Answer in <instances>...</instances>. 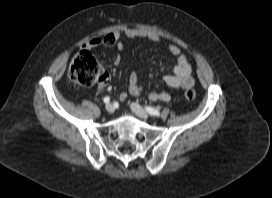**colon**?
Here are the masks:
<instances>
[{"label": "colon", "mask_w": 272, "mask_h": 198, "mask_svg": "<svg viewBox=\"0 0 272 198\" xmlns=\"http://www.w3.org/2000/svg\"><path fill=\"white\" fill-rule=\"evenodd\" d=\"M104 70L96 58L87 50L79 51L72 59L68 70V80L77 86H91L98 82ZM185 100L192 102L196 93L188 89L184 93Z\"/></svg>", "instance_id": "obj_1"}]
</instances>
